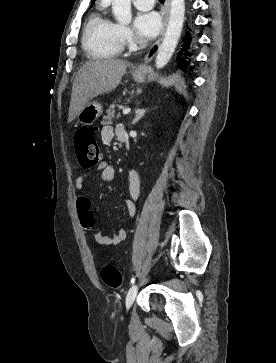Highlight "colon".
Masks as SVG:
<instances>
[{
	"mask_svg": "<svg viewBox=\"0 0 276 363\" xmlns=\"http://www.w3.org/2000/svg\"><path fill=\"white\" fill-rule=\"evenodd\" d=\"M75 154L84 168H92L101 160V150L93 131L87 128L79 129L74 136ZM80 220L83 227H88L84 214L80 212ZM100 275L103 282L110 288L118 289L122 286V276L119 270L111 264L101 267Z\"/></svg>",
	"mask_w": 276,
	"mask_h": 363,
	"instance_id": "colon-1",
	"label": "colon"
}]
</instances>
